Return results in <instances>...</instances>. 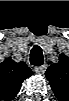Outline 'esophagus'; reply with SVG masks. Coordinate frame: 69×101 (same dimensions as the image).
Segmentation results:
<instances>
[{"label":"esophagus","mask_w":69,"mask_h":101,"mask_svg":"<svg viewBox=\"0 0 69 101\" xmlns=\"http://www.w3.org/2000/svg\"><path fill=\"white\" fill-rule=\"evenodd\" d=\"M45 69H46L45 65L37 66L35 67V72L39 75H43L45 73Z\"/></svg>","instance_id":"esophagus-1"}]
</instances>
